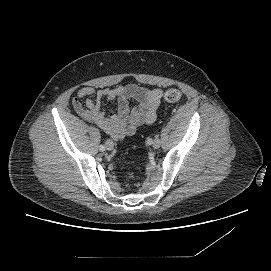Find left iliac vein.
<instances>
[{
    "label": "left iliac vein",
    "instance_id": "1",
    "mask_svg": "<svg viewBox=\"0 0 271 271\" xmlns=\"http://www.w3.org/2000/svg\"><path fill=\"white\" fill-rule=\"evenodd\" d=\"M160 145H161L160 139H155L154 142H153V147H154L155 149H157V148L160 147Z\"/></svg>",
    "mask_w": 271,
    "mask_h": 271
}]
</instances>
